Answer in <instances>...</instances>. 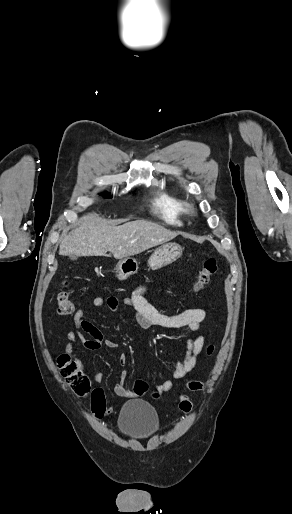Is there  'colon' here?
Wrapping results in <instances>:
<instances>
[{
  "mask_svg": "<svg viewBox=\"0 0 292 514\" xmlns=\"http://www.w3.org/2000/svg\"><path fill=\"white\" fill-rule=\"evenodd\" d=\"M218 260L217 258H207L202 264L198 271L193 291L195 293L202 292L209 283L212 276L217 272ZM56 306L58 313L67 317L70 316L74 311V302L67 292H59L56 297ZM215 350V346L210 344L207 348L208 356H211ZM58 367L62 373V376L67 380L70 388L78 394L82 399L91 398L94 403L93 413L96 420H103L106 411V398L99 389L91 388V382L89 377L82 372L79 365L70 358L67 354H61L57 359ZM189 387L184 389L186 394H189L191 390L201 391L203 384L199 381H191L188 383ZM148 384L144 380L136 381L134 390L137 394L141 395L148 391ZM159 393L155 392L153 397H158ZM178 407L183 412H189L192 409V403L190 400L181 397L177 400Z\"/></svg>",
  "mask_w": 292,
  "mask_h": 514,
  "instance_id": "5ec220e1",
  "label": "colon"
}]
</instances>
